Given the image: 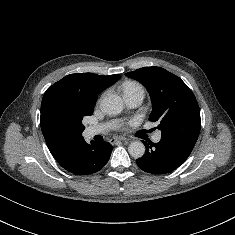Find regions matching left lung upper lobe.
<instances>
[{
	"label": "left lung upper lobe",
	"instance_id": "5c2ea615",
	"mask_svg": "<svg viewBox=\"0 0 235 235\" xmlns=\"http://www.w3.org/2000/svg\"><path fill=\"white\" fill-rule=\"evenodd\" d=\"M126 76L142 83L150 94V121H158L163 138L196 142L200 133V109L186 84L160 67H143Z\"/></svg>",
	"mask_w": 235,
	"mask_h": 235
}]
</instances>
